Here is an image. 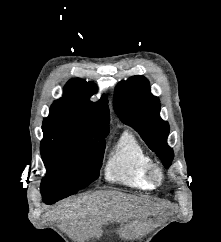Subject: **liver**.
Wrapping results in <instances>:
<instances>
[{"instance_id":"obj_1","label":"liver","mask_w":221,"mask_h":242,"mask_svg":"<svg viewBox=\"0 0 221 242\" xmlns=\"http://www.w3.org/2000/svg\"><path fill=\"white\" fill-rule=\"evenodd\" d=\"M149 209V202L133 195L100 191L63 201L51 211L50 216L62 223L72 239L83 242L96 235L108 221H127L147 214Z\"/></svg>"}]
</instances>
